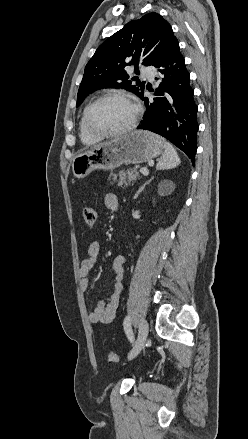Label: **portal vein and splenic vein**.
I'll use <instances>...</instances> for the list:
<instances>
[{"instance_id":"portal-vein-and-splenic-vein-1","label":"portal vein and splenic vein","mask_w":248,"mask_h":439,"mask_svg":"<svg viewBox=\"0 0 248 439\" xmlns=\"http://www.w3.org/2000/svg\"><path fill=\"white\" fill-rule=\"evenodd\" d=\"M140 172H141L143 175H145V176H147V175L149 174V171H148L147 168H141V169H140Z\"/></svg>"}]
</instances>
